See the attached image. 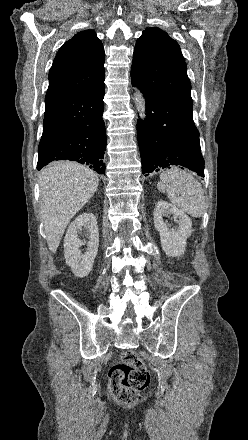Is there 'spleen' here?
<instances>
[{
  "label": "spleen",
  "instance_id": "3e777b00",
  "mask_svg": "<svg viewBox=\"0 0 248 440\" xmlns=\"http://www.w3.org/2000/svg\"><path fill=\"white\" fill-rule=\"evenodd\" d=\"M157 187L159 191L167 193L172 204L192 217L203 215L205 210L203 189L187 171L178 168L163 171Z\"/></svg>",
  "mask_w": 248,
  "mask_h": 440
}]
</instances>
